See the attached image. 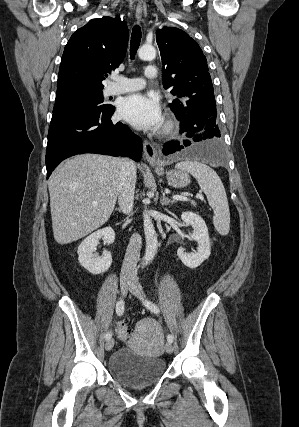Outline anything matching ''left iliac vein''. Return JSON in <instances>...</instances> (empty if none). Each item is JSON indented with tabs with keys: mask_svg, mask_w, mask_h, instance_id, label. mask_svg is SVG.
Wrapping results in <instances>:
<instances>
[{
	"mask_svg": "<svg viewBox=\"0 0 299 427\" xmlns=\"http://www.w3.org/2000/svg\"><path fill=\"white\" fill-rule=\"evenodd\" d=\"M130 292L136 296L137 298H139L140 300H143L145 298V294L144 291L142 289V286L140 285V283L137 280H132L130 287H129ZM165 349L168 353H172L173 352V345L171 342H167L165 344Z\"/></svg>",
	"mask_w": 299,
	"mask_h": 427,
	"instance_id": "4c4485c4",
	"label": "left iliac vein"
}]
</instances>
